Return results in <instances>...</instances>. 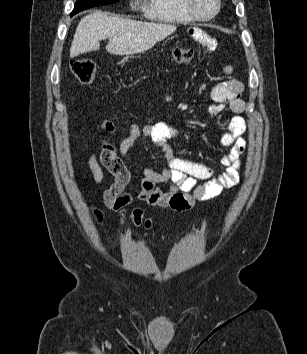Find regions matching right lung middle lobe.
Listing matches in <instances>:
<instances>
[{
    "label": "right lung middle lobe",
    "instance_id": "right-lung-middle-lobe-1",
    "mask_svg": "<svg viewBox=\"0 0 307 354\" xmlns=\"http://www.w3.org/2000/svg\"><path fill=\"white\" fill-rule=\"evenodd\" d=\"M119 0H77L74 10L71 13V16L91 7L108 5L118 2Z\"/></svg>",
    "mask_w": 307,
    "mask_h": 354
}]
</instances>
